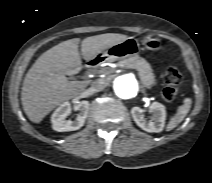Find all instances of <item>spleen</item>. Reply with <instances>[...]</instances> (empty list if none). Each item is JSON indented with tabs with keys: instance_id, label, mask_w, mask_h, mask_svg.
Returning <instances> with one entry per match:
<instances>
[{
	"instance_id": "obj_1",
	"label": "spleen",
	"mask_w": 212,
	"mask_h": 183,
	"mask_svg": "<svg viewBox=\"0 0 212 183\" xmlns=\"http://www.w3.org/2000/svg\"><path fill=\"white\" fill-rule=\"evenodd\" d=\"M192 105V99L191 98H185L183 100V105L178 107L177 113L170 119L169 123L167 124L166 130L171 131L179 123L183 121V119L186 117L188 112L190 111Z\"/></svg>"
}]
</instances>
